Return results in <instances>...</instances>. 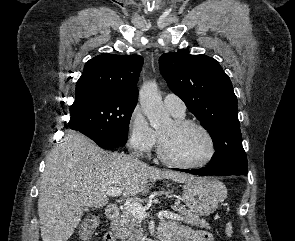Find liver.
<instances>
[{
  "instance_id": "1",
  "label": "liver",
  "mask_w": 295,
  "mask_h": 241,
  "mask_svg": "<svg viewBox=\"0 0 295 241\" xmlns=\"http://www.w3.org/2000/svg\"><path fill=\"white\" fill-rule=\"evenodd\" d=\"M199 181L192 175L135 163L124 154L106 152L80 133L68 131L46 157L40 181L38 212L43 241H68L83 216V207L108 203L106 190L120 187L125 197L145 194L150 182Z\"/></svg>"
}]
</instances>
